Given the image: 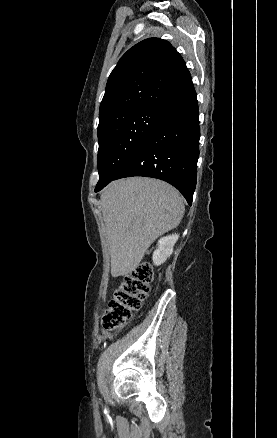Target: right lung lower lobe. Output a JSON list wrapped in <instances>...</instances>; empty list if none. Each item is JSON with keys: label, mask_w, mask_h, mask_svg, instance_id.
<instances>
[{"label": "right lung lower lobe", "mask_w": 277, "mask_h": 438, "mask_svg": "<svg viewBox=\"0 0 277 438\" xmlns=\"http://www.w3.org/2000/svg\"><path fill=\"white\" fill-rule=\"evenodd\" d=\"M199 138L198 102L192 89L168 104L145 142L113 180L130 176L158 178L176 187L191 205L196 186ZM106 185L96 186L95 192Z\"/></svg>", "instance_id": "98d812e1"}]
</instances>
